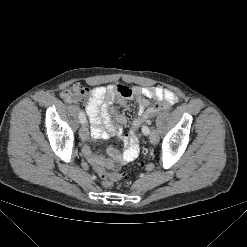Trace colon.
<instances>
[{
    "instance_id": "1",
    "label": "colon",
    "mask_w": 247,
    "mask_h": 247,
    "mask_svg": "<svg viewBox=\"0 0 247 247\" xmlns=\"http://www.w3.org/2000/svg\"><path fill=\"white\" fill-rule=\"evenodd\" d=\"M118 92L122 96H129L131 91L130 88L127 86L119 85L117 88ZM171 108V105L166 102L157 103L152 107L146 108V110L139 115L133 122L132 125V131L135 133L141 128L143 129L145 127V124L156 114L162 111L169 110ZM148 151L146 148L143 149V154L147 155ZM141 166H144V162L141 163ZM99 177L103 181V185L106 188H111L115 181L120 180L123 175L117 174V173H109L104 168L98 167L96 169Z\"/></svg>"
}]
</instances>
